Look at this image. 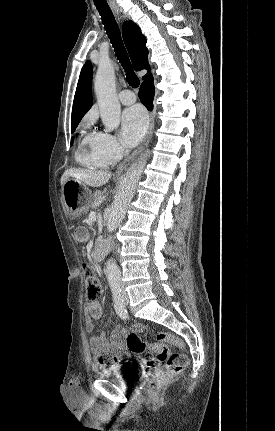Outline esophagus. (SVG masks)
<instances>
[{"mask_svg": "<svg viewBox=\"0 0 275 431\" xmlns=\"http://www.w3.org/2000/svg\"><path fill=\"white\" fill-rule=\"evenodd\" d=\"M114 11L119 14V9L118 8H114ZM154 124H155V116L154 113L151 112L150 113V122H149V128L147 131V134L143 140V142L132 152V154L127 157L117 168L116 170V175H121L126 169L127 167L130 165V163L142 152V150L149 144L151 138H152V134H153V129H154Z\"/></svg>", "mask_w": 275, "mask_h": 431, "instance_id": "obj_1", "label": "esophagus"}]
</instances>
